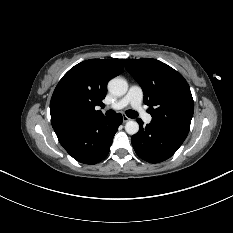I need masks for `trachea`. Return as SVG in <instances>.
Returning <instances> with one entry per match:
<instances>
[{
	"label": "trachea",
	"mask_w": 233,
	"mask_h": 233,
	"mask_svg": "<svg viewBox=\"0 0 233 233\" xmlns=\"http://www.w3.org/2000/svg\"><path fill=\"white\" fill-rule=\"evenodd\" d=\"M106 115L107 116H114L115 115V112L113 110H108L106 112ZM126 115L129 117V118H136L138 116V113L135 112L134 110H127L126 111Z\"/></svg>",
	"instance_id": "1"
}]
</instances>
